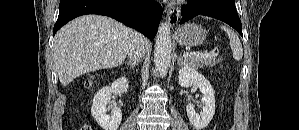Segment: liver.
I'll use <instances>...</instances> for the list:
<instances>
[{
  "instance_id": "liver-1",
  "label": "liver",
  "mask_w": 299,
  "mask_h": 130,
  "mask_svg": "<svg viewBox=\"0 0 299 130\" xmlns=\"http://www.w3.org/2000/svg\"><path fill=\"white\" fill-rule=\"evenodd\" d=\"M130 28L99 15L78 17L62 27L54 38L53 61L63 86L96 70L121 65L131 41ZM144 48L149 43L144 39Z\"/></svg>"
}]
</instances>
